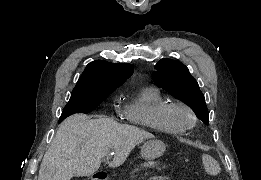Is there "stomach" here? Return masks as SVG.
Wrapping results in <instances>:
<instances>
[{
	"mask_svg": "<svg viewBox=\"0 0 261 180\" xmlns=\"http://www.w3.org/2000/svg\"><path fill=\"white\" fill-rule=\"evenodd\" d=\"M166 151V146L161 140H149L141 147V157L145 160H154L161 157Z\"/></svg>",
	"mask_w": 261,
	"mask_h": 180,
	"instance_id": "1",
	"label": "stomach"
}]
</instances>
